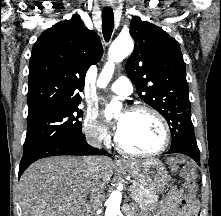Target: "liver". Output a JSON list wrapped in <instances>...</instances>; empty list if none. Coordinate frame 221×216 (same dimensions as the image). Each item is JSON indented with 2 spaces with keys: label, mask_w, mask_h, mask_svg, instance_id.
<instances>
[{
  "label": "liver",
  "mask_w": 221,
  "mask_h": 216,
  "mask_svg": "<svg viewBox=\"0 0 221 216\" xmlns=\"http://www.w3.org/2000/svg\"><path fill=\"white\" fill-rule=\"evenodd\" d=\"M89 157H51L30 165L19 181L22 216H80L91 194ZM98 160L99 183L106 187L114 164L108 157Z\"/></svg>",
  "instance_id": "1"
}]
</instances>
